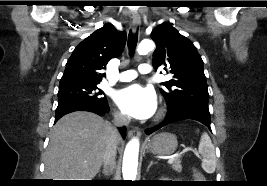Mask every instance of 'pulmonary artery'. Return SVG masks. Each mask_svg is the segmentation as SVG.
Wrapping results in <instances>:
<instances>
[{
	"instance_id": "1",
	"label": "pulmonary artery",
	"mask_w": 267,
	"mask_h": 186,
	"mask_svg": "<svg viewBox=\"0 0 267 186\" xmlns=\"http://www.w3.org/2000/svg\"><path fill=\"white\" fill-rule=\"evenodd\" d=\"M152 71V67L149 64H141L138 67V72L141 74H149ZM137 77V72L135 70H127L119 74L118 79L120 81H131Z\"/></svg>"
}]
</instances>
